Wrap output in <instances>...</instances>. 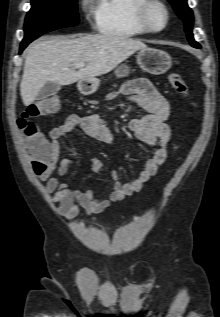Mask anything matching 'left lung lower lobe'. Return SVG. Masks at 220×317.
<instances>
[{
  "instance_id": "obj_1",
  "label": "left lung lower lobe",
  "mask_w": 220,
  "mask_h": 317,
  "mask_svg": "<svg viewBox=\"0 0 220 317\" xmlns=\"http://www.w3.org/2000/svg\"><path fill=\"white\" fill-rule=\"evenodd\" d=\"M195 48H200V46H197V47H195Z\"/></svg>"
}]
</instances>
